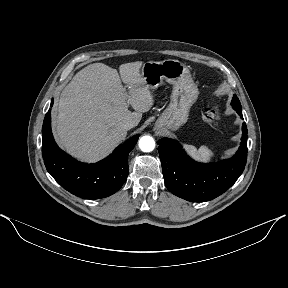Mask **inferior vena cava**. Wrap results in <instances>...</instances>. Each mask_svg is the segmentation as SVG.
<instances>
[{
	"instance_id": "inferior-vena-cava-1",
	"label": "inferior vena cava",
	"mask_w": 288,
	"mask_h": 288,
	"mask_svg": "<svg viewBox=\"0 0 288 288\" xmlns=\"http://www.w3.org/2000/svg\"><path fill=\"white\" fill-rule=\"evenodd\" d=\"M137 125L136 121L134 120H128L124 123L123 127L125 130H130L131 128L135 127Z\"/></svg>"
}]
</instances>
